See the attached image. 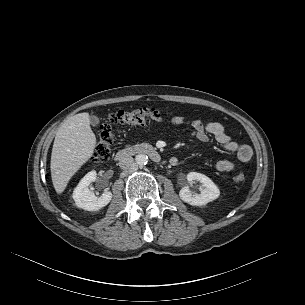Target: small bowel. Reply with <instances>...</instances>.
Wrapping results in <instances>:
<instances>
[{
  "mask_svg": "<svg viewBox=\"0 0 305 305\" xmlns=\"http://www.w3.org/2000/svg\"><path fill=\"white\" fill-rule=\"evenodd\" d=\"M170 125L175 127L185 125L190 134L200 142H207L210 136L228 152L235 153L237 161L220 160L214 164V169L218 172H235L239 169L240 164L247 163L252 158V149L245 144H239L233 140L227 133L226 128L219 122L204 123L201 119L189 121L182 116H175L170 120ZM181 160L178 157H172L170 163L173 166L179 165Z\"/></svg>",
  "mask_w": 305,
  "mask_h": 305,
  "instance_id": "c3829d8e",
  "label": "small bowel"
}]
</instances>
